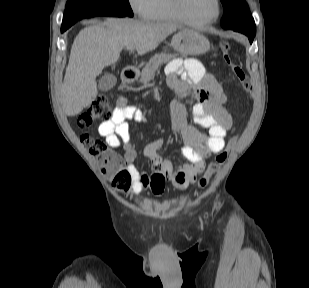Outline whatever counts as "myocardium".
Masks as SVG:
<instances>
[{
	"label": "myocardium",
	"instance_id": "f54148a6",
	"mask_svg": "<svg viewBox=\"0 0 309 288\" xmlns=\"http://www.w3.org/2000/svg\"><path fill=\"white\" fill-rule=\"evenodd\" d=\"M172 1V7H173V11L177 17V19L194 28H202L208 25H211L213 23H215L221 16L222 13V4L220 0H215L216 2V12L215 15L208 19V20H204V21H193L190 18H188L186 16V14L184 13L183 10V0H171Z\"/></svg>",
	"mask_w": 309,
	"mask_h": 288
}]
</instances>
